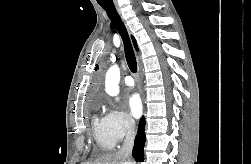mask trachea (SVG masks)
I'll return each instance as SVG.
<instances>
[{"instance_id":"1","label":"trachea","mask_w":251,"mask_h":164,"mask_svg":"<svg viewBox=\"0 0 251 164\" xmlns=\"http://www.w3.org/2000/svg\"><path fill=\"white\" fill-rule=\"evenodd\" d=\"M100 6L107 12L113 25L115 26V28L121 35L123 43H124L125 55H126V61H127L128 67L133 73H136L137 72L136 57H135L127 30L123 22L121 21L112 0L111 2L102 3L100 4Z\"/></svg>"}]
</instances>
